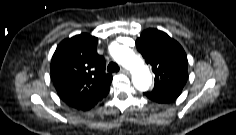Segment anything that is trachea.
I'll return each mask as SVG.
<instances>
[{
    "label": "trachea",
    "instance_id": "1",
    "mask_svg": "<svg viewBox=\"0 0 236 135\" xmlns=\"http://www.w3.org/2000/svg\"><path fill=\"white\" fill-rule=\"evenodd\" d=\"M120 70L119 66L115 62H110L107 71L109 72H118Z\"/></svg>",
    "mask_w": 236,
    "mask_h": 135
}]
</instances>
